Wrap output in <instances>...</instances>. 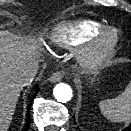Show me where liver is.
I'll list each match as a JSON object with an SVG mask.
<instances>
[{"label": "liver", "instance_id": "6515ba94", "mask_svg": "<svg viewBox=\"0 0 131 131\" xmlns=\"http://www.w3.org/2000/svg\"><path fill=\"white\" fill-rule=\"evenodd\" d=\"M36 45L0 31V131H7L23 86L19 74L36 61Z\"/></svg>", "mask_w": 131, "mask_h": 131}]
</instances>
